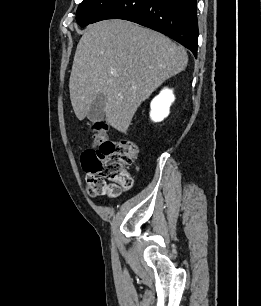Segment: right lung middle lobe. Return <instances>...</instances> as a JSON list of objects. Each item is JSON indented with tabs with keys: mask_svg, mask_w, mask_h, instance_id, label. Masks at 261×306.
<instances>
[{
	"mask_svg": "<svg viewBox=\"0 0 261 306\" xmlns=\"http://www.w3.org/2000/svg\"><path fill=\"white\" fill-rule=\"evenodd\" d=\"M115 0H83L77 9L76 20L81 27L92 23Z\"/></svg>",
	"mask_w": 261,
	"mask_h": 306,
	"instance_id": "obj_1",
	"label": "right lung middle lobe"
}]
</instances>
